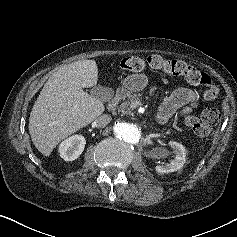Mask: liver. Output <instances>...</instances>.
I'll list each match as a JSON object with an SVG mask.
<instances>
[{
    "label": "liver",
    "instance_id": "1",
    "mask_svg": "<svg viewBox=\"0 0 237 237\" xmlns=\"http://www.w3.org/2000/svg\"><path fill=\"white\" fill-rule=\"evenodd\" d=\"M97 81L95 60L73 62L49 77L32 107L28 125L40 153L49 156L61 140L104 112L102 100L83 91Z\"/></svg>",
    "mask_w": 237,
    "mask_h": 237
}]
</instances>
